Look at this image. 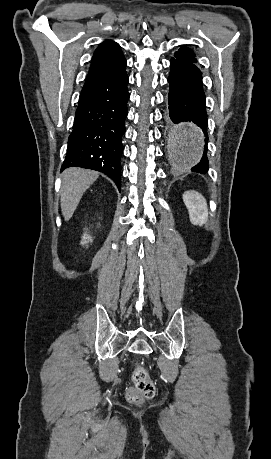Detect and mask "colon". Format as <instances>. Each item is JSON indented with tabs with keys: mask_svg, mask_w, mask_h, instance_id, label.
Here are the masks:
<instances>
[{
	"mask_svg": "<svg viewBox=\"0 0 271 459\" xmlns=\"http://www.w3.org/2000/svg\"><path fill=\"white\" fill-rule=\"evenodd\" d=\"M133 386L126 393L130 402L140 403L145 399H150L155 394V386L150 379L148 370L140 364H137L132 372Z\"/></svg>",
	"mask_w": 271,
	"mask_h": 459,
	"instance_id": "colon-1",
	"label": "colon"
}]
</instances>
